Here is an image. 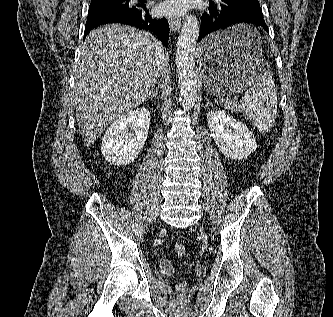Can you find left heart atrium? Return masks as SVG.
Segmentation results:
<instances>
[{"label": "left heart atrium", "mask_w": 333, "mask_h": 317, "mask_svg": "<svg viewBox=\"0 0 333 317\" xmlns=\"http://www.w3.org/2000/svg\"><path fill=\"white\" fill-rule=\"evenodd\" d=\"M188 7V0H166L159 6V11L165 15H181Z\"/></svg>", "instance_id": "39dd6f15"}]
</instances>
